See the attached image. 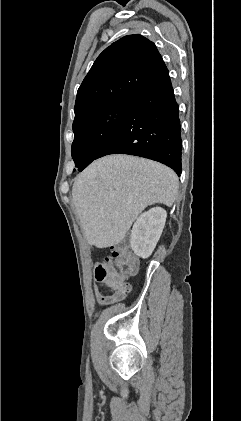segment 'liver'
Listing matches in <instances>:
<instances>
[{"label": "liver", "instance_id": "6515ba94", "mask_svg": "<svg viewBox=\"0 0 241 421\" xmlns=\"http://www.w3.org/2000/svg\"><path fill=\"white\" fill-rule=\"evenodd\" d=\"M178 177L167 166L130 155L92 162L74 181L73 204L88 243L106 248L122 242L149 205L172 206Z\"/></svg>", "mask_w": 241, "mask_h": 421}]
</instances>
